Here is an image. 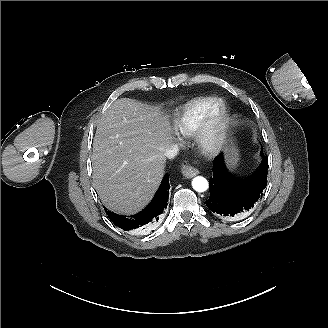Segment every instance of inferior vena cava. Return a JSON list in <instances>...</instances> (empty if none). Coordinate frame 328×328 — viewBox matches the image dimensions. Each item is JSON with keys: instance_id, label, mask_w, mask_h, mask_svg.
I'll return each instance as SVG.
<instances>
[{"instance_id": "602c4592", "label": "inferior vena cava", "mask_w": 328, "mask_h": 328, "mask_svg": "<svg viewBox=\"0 0 328 328\" xmlns=\"http://www.w3.org/2000/svg\"><path fill=\"white\" fill-rule=\"evenodd\" d=\"M179 153V147L176 144H171L168 148H166L164 155L168 159H174Z\"/></svg>"}]
</instances>
